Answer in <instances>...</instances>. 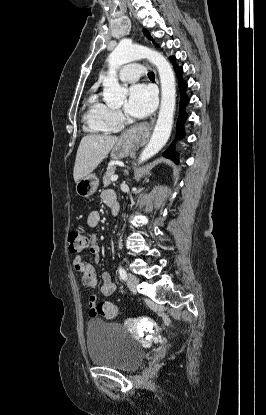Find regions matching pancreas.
<instances>
[{
	"mask_svg": "<svg viewBox=\"0 0 266 415\" xmlns=\"http://www.w3.org/2000/svg\"><path fill=\"white\" fill-rule=\"evenodd\" d=\"M115 169H116V166H112L106 170L103 176V184L105 187L111 184V177L114 175Z\"/></svg>",
	"mask_w": 266,
	"mask_h": 415,
	"instance_id": "pancreas-1",
	"label": "pancreas"
}]
</instances>
